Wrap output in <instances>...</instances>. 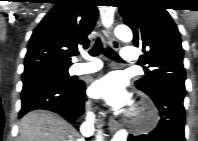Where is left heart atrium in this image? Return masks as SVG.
<instances>
[{
    "mask_svg": "<svg viewBox=\"0 0 198 141\" xmlns=\"http://www.w3.org/2000/svg\"><path fill=\"white\" fill-rule=\"evenodd\" d=\"M94 97L104 99L110 106L120 108L129 102L123 79L117 74H109L91 86Z\"/></svg>",
    "mask_w": 198,
    "mask_h": 141,
    "instance_id": "obj_1",
    "label": "left heart atrium"
}]
</instances>
